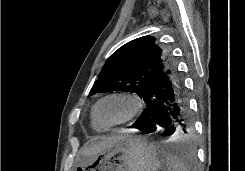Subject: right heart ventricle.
<instances>
[{"label": "right heart ventricle", "instance_id": "obj_1", "mask_svg": "<svg viewBox=\"0 0 245 171\" xmlns=\"http://www.w3.org/2000/svg\"><path fill=\"white\" fill-rule=\"evenodd\" d=\"M91 124H92V127L98 131H101L104 129V127L95 120V118L93 117V114L91 115Z\"/></svg>", "mask_w": 245, "mask_h": 171}]
</instances>
